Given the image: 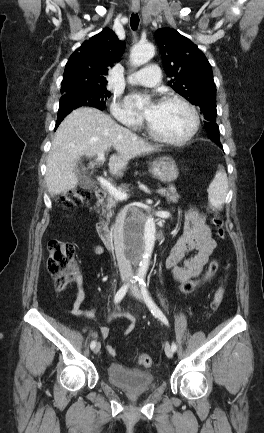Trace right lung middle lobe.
Masks as SVG:
<instances>
[{
    "mask_svg": "<svg viewBox=\"0 0 264 433\" xmlns=\"http://www.w3.org/2000/svg\"><path fill=\"white\" fill-rule=\"evenodd\" d=\"M109 97L110 92L107 91L106 86L81 89L64 94L60 99L58 119L64 118L73 109L81 106H92L102 110L105 108V101Z\"/></svg>",
    "mask_w": 264,
    "mask_h": 433,
    "instance_id": "1",
    "label": "right lung middle lobe"
}]
</instances>
